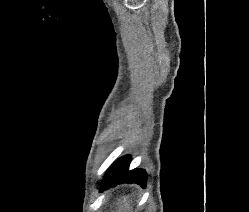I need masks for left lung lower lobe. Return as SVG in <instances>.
<instances>
[{"mask_svg": "<svg viewBox=\"0 0 249 212\" xmlns=\"http://www.w3.org/2000/svg\"><path fill=\"white\" fill-rule=\"evenodd\" d=\"M130 159L131 157L129 155L123 156L112 164L104 176L100 192L110 186L123 183H136L145 188L147 179L145 171L141 169L128 171Z\"/></svg>", "mask_w": 249, "mask_h": 212, "instance_id": "left-lung-lower-lobe-1", "label": "left lung lower lobe"}]
</instances>
